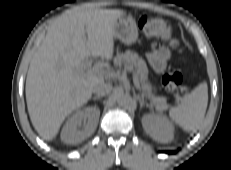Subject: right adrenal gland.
Returning a JSON list of instances; mask_svg holds the SVG:
<instances>
[{"label":"right adrenal gland","instance_id":"2a0ac1e0","mask_svg":"<svg viewBox=\"0 0 231 170\" xmlns=\"http://www.w3.org/2000/svg\"><path fill=\"white\" fill-rule=\"evenodd\" d=\"M92 99H93V100H100L101 97H100V96H95V97H93Z\"/></svg>","mask_w":231,"mask_h":170}]
</instances>
